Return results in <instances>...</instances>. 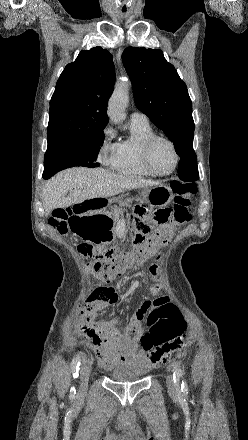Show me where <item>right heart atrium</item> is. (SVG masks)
Here are the masks:
<instances>
[{"instance_id":"right-heart-atrium-1","label":"right heart atrium","mask_w":248,"mask_h":440,"mask_svg":"<svg viewBox=\"0 0 248 440\" xmlns=\"http://www.w3.org/2000/svg\"><path fill=\"white\" fill-rule=\"evenodd\" d=\"M113 137V130L109 126H106L103 129V137L98 151V157L100 161L104 165L112 168L115 163L118 145L116 142H113Z\"/></svg>"}]
</instances>
